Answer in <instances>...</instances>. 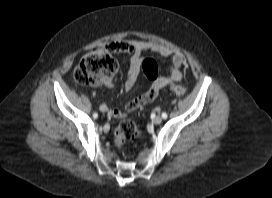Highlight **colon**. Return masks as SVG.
I'll return each mask as SVG.
<instances>
[{
  "label": "colon",
  "instance_id": "obj_1",
  "mask_svg": "<svg viewBox=\"0 0 272 198\" xmlns=\"http://www.w3.org/2000/svg\"><path fill=\"white\" fill-rule=\"evenodd\" d=\"M110 48H102L82 57L74 70V79L81 85H99L107 82L118 69V63L112 56ZM143 71L146 75L157 74V65L147 59L142 64ZM171 91L182 96L186 93V88L172 84ZM144 133L131 120H123L115 131L114 145L118 149L126 146L127 140L142 138Z\"/></svg>",
  "mask_w": 272,
  "mask_h": 198
}]
</instances>
